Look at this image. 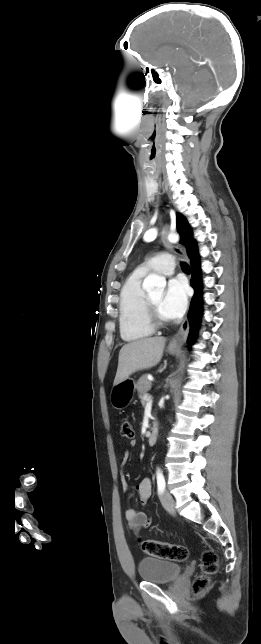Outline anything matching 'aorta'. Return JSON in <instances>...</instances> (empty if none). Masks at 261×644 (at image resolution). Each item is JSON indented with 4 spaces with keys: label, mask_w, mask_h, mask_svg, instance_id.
Here are the masks:
<instances>
[{
    "label": "aorta",
    "mask_w": 261,
    "mask_h": 644,
    "mask_svg": "<svg viewBox=\"0 0 261 644\" xmlns=\"http://www.w3.org/2000/svg\"><path fill=\"white\" fill-rule=\"evenodd\" d=\"M142 286L147 292L162 291L166 286V280L162 276L150 274L144 279Z\"/></svg>",
    "instance_id": "762f6f07"
}]
</instances>
